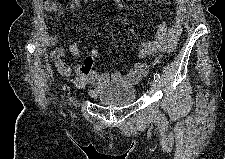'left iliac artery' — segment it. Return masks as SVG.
Instances as JSON below:
<instances>
[{
	"mask_svg": "<svg viewBox=\"0 0 225 159\" xmlns=\"http://www.w3.org/2000/svg\"><path fill=\"white\" fill-rule=\"evenodd\" d=\"M154 81L155 82H159L160 81V74L157 73V72L154 74Z\"/></svg>",
	"mask_w": 225,
	"mask_h": 159,
	"instance_id": "left-iliac-artery-1",
	"label": "left iliac artery"
}]
</instances>
